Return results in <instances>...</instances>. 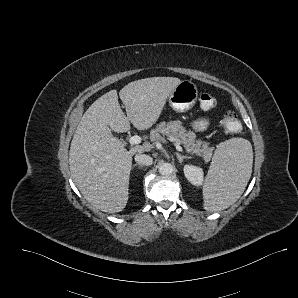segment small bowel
Instances as JSON below:
<instances>
[{
  "label": "small bowel",
  "instance_id": "c3829d8e",
  "mask_svg": "<svg viewBox=\"0 0 298 298\" xmlns=\"http://www.w3.org/2000/svg\"><path fill=\"white\" fill-rule=\"evenodd\" d=\"M208 126H209V120L206 119V118L198 119V120H196V121L193 123V128H194L196 131H203V130H205Z\"/></svg>",
  "mask_w": 298,
  "mask_h": 298
}]
</instances>
